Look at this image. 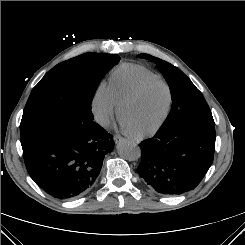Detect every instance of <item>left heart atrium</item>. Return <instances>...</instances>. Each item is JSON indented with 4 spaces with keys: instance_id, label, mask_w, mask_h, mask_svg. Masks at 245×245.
<instances>
[{
    "instance_id": "left-heart-atrium-1",
    "label": "left heart atrium",
    "mask_w": 245,
    "mask_h": 245,
    "mask_svg": "<svg viewBox=\"0 0 245 245\" xmlns=\"http://www.w3.org/2000/svg\"><path fill=\"white\" fill-rule=\"evenodd\" d=\"M121 125L122 127L128 131L129 133H133V131L127 126L126 122L124 121L123 117L121 118Z\"/></svg>"
}]
</instances>
